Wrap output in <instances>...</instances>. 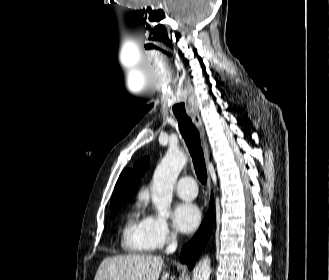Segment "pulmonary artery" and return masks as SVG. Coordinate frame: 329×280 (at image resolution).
Returning a JSON list of instances; mask_svg holds the SVG:
<instances>
[{"instance_id": "e3ab8cb5", "label": "pulmonary artery", "mask_w": 329, "mask_h": 280, "mask_svg": "<svg viewBox=\"0 0 329 280\" xmlns=\"http://www.w3.org/2000/svg\"><path fill=\"white\" fill-rule=\"evenodd\" d=\"M175 189L178 196L185 200H193L197 195V184L189 175L181 177L177 181Z\"/></svg>"}]
</instances>
